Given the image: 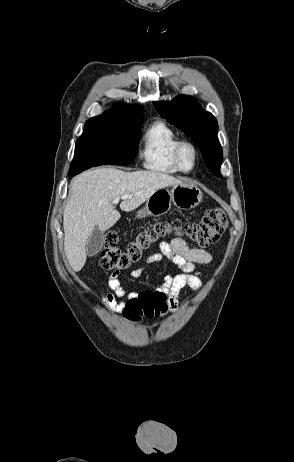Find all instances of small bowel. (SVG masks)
Listing matches in <instances>:
<instances>
[{"label": "small bowel", "mask_w": 294, "mask_h": 462, "mask_svg": "<svg viewBox=\"0 0 294 462\" xmlns=\"http://www.w3.org/2000/svg\"><path fill=\"white\" fill-rule=\"evenodd\" d=\"M168 260L181 273L176 275H166L161 286L153 289L163 294L167 300L169 309L172 312L178 310V295L186 287L197 291L201 288L200 274L196 265L208 264L212 261V255L198 248L189 247L183 239L181 230L175 231V236L170 242H163L159 246V252L149 255L146 258L147 264H154L162 260ZM145 272V268H138L131 271L130 275L134 278L140 277ZM108 291L100 293L101 303L112 312L124 310L127 301H118V298L136 297L139 291H129L122 286L119 272L114 271L110 274L107 281Z\"/></svg>", "instance_id": "1"}]
</instances>
